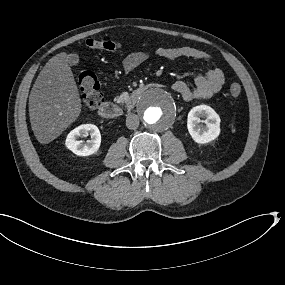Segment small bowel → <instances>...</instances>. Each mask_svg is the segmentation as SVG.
Listing matches in <instances>:
<instances>
[{"mask_svg":"<svg viewBox=\"0 0 285 285\" xmlns=\"http://www.w3.org/2000/svg\"><path fill=\"white\" fill-rule=\"evenodd\" d=\"M155 55L168 60L184 58L197 61L211 62V56L206 52L189 47H160L155 51ZM147 51L129 52L122 61V69L125 73H130L149 58ZM225 83L223 71L212 66L205 72L197 73L194 78V85L190 86L183 81H176L172 85L173 91L179 94L184 100H205L218 93Z\"/></svg>","mask_w":285,"mask_h":285,"instance_id":"obj_1","label":"small bowel"}]
</instances>
